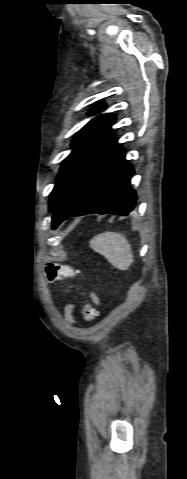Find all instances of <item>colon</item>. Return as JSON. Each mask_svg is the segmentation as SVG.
<instances>
[{
    "label": "colon",
    "mask_w": 187,
    "mask_h": 479,
    "mask_svg": "<svg viewBox=\"0 0 187 479\" xmlns=\"http://www.w3.org/2000/svg\"><path fill=\"white\" fill-rule=\"evenodd\" d=\"M46 272L48 275V279L50 281H55L59 278L70 276L73 273V270L65 265L51 263L47 265ZM82 314L86 322H92L95 320L98 313L93 304L86 302L83 304Z\"/></svg>",
    "instance_id": "1"
}]
</instances>
